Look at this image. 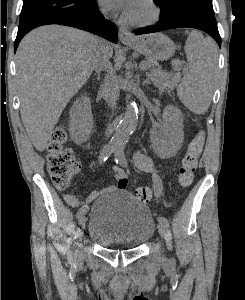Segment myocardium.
<instances>
[{
  "label": "myocardium",
  "instance_id": "1",
  "mask_svg": "<svg viewBox=\"0 0 245 300\" xmlns=\"http://www.w3.org/2000/svg\"><path fill=\"white\" fill-rule=\"evenodd\" d=\"M151 10L149 18L144 20L127 19L128 23L136 27H146L155 24L161 15V11L155 0H144Z\"/></svg>",
  "mask_w": 245,
  "mask_h": 300
}]
</instances>
